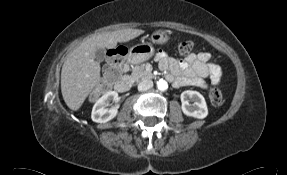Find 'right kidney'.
Returning a JSON list of instances; mask_svg holds the SVG:
<instances>
[{"instance_id":"obj_1","label":"right kidney","mask_w":287,"mask_h":175,"mask_svg":"<svg viewBox=\"0 0 287 175\" xmlns=\"http://www.w3.org/2000/svg\"><path fill=\"white\" fill-rule=\"evenodd\" d=\"M111 101L115 102L114 105L111 104ZM119 96L116 91L106 92L97 102L94 104L91 118L94 122L97 123H106L113 119L117 113L119 105Z\"/></svg>"}]
</instances>
